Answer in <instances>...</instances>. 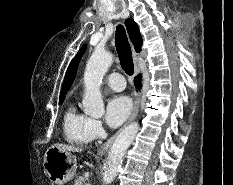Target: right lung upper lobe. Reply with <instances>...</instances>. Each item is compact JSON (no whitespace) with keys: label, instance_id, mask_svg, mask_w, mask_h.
I'll use <instances>...</instances> for the list:
<instances>
[{"label":"right lung upper lobe","instance_id":"cb5924a9","mask_svg":"<svg viewBox=\"0 0 233 185\" xmlns=\"http://www.w3.org/2000/svg\"><path fill=\"white\" fill-rule=\"evenodd\" d=\"M125 25L127 27L128 33L130 35V39L134 45L136 52H140L141 46H142V37L140 35L139 28H138L137 24L134 22V20L132 18H130V19H127L125 21ZM85 49H86V46H83L80 49V51L73 58V60L71 61L70 65L67 69V72H66V75L64 78V84H63L62 91H61L62 95L60 96L59 102L64 100V98H65L64 94L68 91V89L70 88V86L74 80L79 60H80L82 54L84 53Z\"/></svg>","mask_w":233,"mask_h":185}]
</instances>
